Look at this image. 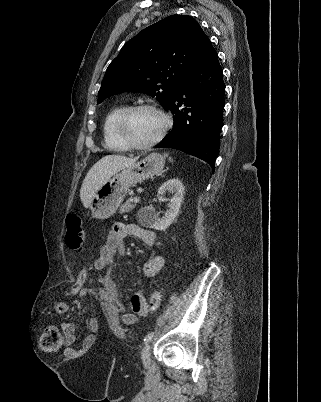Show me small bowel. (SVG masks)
<instances>
[{"mask_svg": "<svg viewBox=\"0 0 321 402\" xmlns=\"http://www.w3.org/2000/svg\"><path fill=\"white\" fill-rule=\"evenodd\" d=\"M126 237H137L146 245L152 246L156 242V235L152 230L143 228L136 223H117L109 234L106 236L105 243L99 247L97 257L92 263V269L96 272L107 270L105 274L100 276L99 282L107 292L109 298L119 307L122 312L123 322L127 325H133L137 322V315L129 312L122 305L117 287L111 276V267L116 262L119 256L124 255ZM165 258L162 255H154L146 259L142 266L144 277L153 278L164 266ZM144 300L142 291H138L132 295L130 305ZM52 310L57 314L68 313L70 307L63 302H54L51 305ZM145 314V313H144ZM142 314V315H144ZM88 331L84 336L83 344H78L75 347L76 341V326L71 322H62L61 328L64 332L65 354L69 358H83L84 353L89 351V347H94L99 334V327L96 321H91Z\"/></svg>", "mask_w": 321, "mask_h": 402, "instance_id": "1", "label": "small bowel"}]
</instances>
